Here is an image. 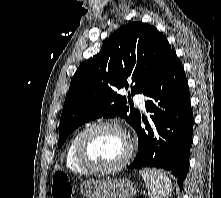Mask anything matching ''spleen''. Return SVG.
Listing matches in <instances>:
<instances>
[{
    "instance_id": "spleen-1",
    "label": "spleen",
    "mask_w": 221,
    "mask_h": 198,
    "mask_svg": "<svg viewBox=\"0 0 221 198\" xmlns=\"http://www.w3.org/2000/svg\"><path fill=\"white\" fill-rule=\"evenodd\" d=\"M139 174L149 190L150 198H168L171 195L173 185L163 172L154 169H141Z\"/></svg>"
}]
</instances>
